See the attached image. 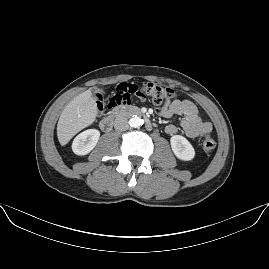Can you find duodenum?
<instances>
[{
  "mask_svg": "<svg viewBox=\"0 0 269 269\" xmlns=\"http://www.w3.org/2000/svg\"><path fill=\"white\" fill-rule=\"evenodd\" d=\"M123 116H140L145 120V127L152 130L153 123L147 118L145 112L134 106L118 107L107 114L100 122V127L103 131L108 132L112 129L114 122Z\"/></svg>",
  "mask_w": 269,
  "mask_h": 269,
  "instance_id": "obj_1",
  "label": "duodenum"
}]
</instances>
